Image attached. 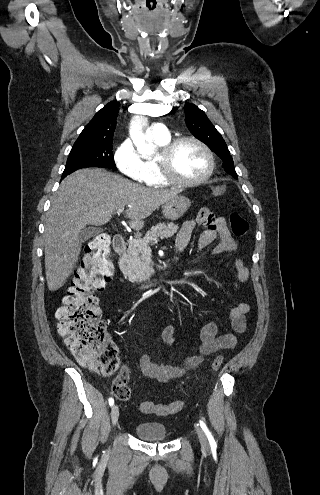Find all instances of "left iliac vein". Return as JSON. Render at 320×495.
Listing matches in <instances>:
<instances>
[{"mask_svg": "<svg viewBox=\"0 0 320 495\" xmlns=\"http://www.w3.org/2000/svg\"><path fill=\"white\" fill-rule=\"evenodd\" d=\"M196 433H197L199 442L201 444V447L204 450H208L209 449V444H208V440L206 438V435H205L204 431L200 427H196Z\"/></svg>", "mask_w": 320, "mask_h": 495, "instance_id": "4c4485c4", "label": "left iliac vein"}]
</instances>
